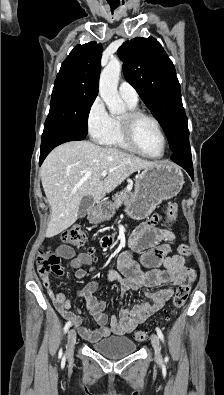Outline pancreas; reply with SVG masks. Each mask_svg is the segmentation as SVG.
<instances>
[{"mask_svg":"<svg viewBox=\"0 0 224 395\" xmlns=\"http://www.w3.org/2000/svg\"><path fill=\"white\" fill-rule=\"evenodd\" d=\"M131 198V191L129 189H124L123 191L116 193L112 199L113 202L110 204L112 211L119 209L123 203H127Z\"/></svg>","mask_w":224,"mask_h":395,"instance_id":"1","label":"pancreas"}]
</instances>
